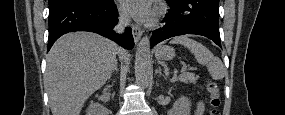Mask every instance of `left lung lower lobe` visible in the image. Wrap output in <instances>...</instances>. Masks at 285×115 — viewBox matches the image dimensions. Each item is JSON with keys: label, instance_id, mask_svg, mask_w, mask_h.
Here are the masks:
<instances>
[{"label": "left lung lower lobe", "instance_id": "1", "mask_svg": "<svg viewBox=\"0 0 285 115\" xmlns=\"http://www.w3.org/2000/svg\"><path fill=\"white\" fill-rule=\"evenodd\" d=\"M170 9L166 24L152 32L151 47L170 37L197 34L208 37L221 47L219 0H166Z\"/></svg>", "mask_w": 285, "mask_h": 115}]
</instances>
